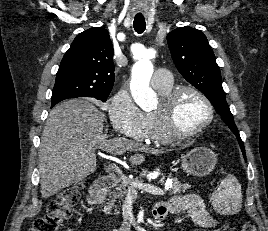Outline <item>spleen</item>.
<instances>
[{"instance_id": "3e777b00", "label": "spleen", "mask_w": 268, "mask_h": 231, "mask_svg": "<svg viewBox=\"0 0 268 231\" xmlns=\"http://www.w3.org/2000/svg\"><path fill=\"white\" fill-rule=\"evenodd\" d=\"M211 203L214 210L222 215L238 213L242 207L241 185L237 178L229 174L220 183L212 194Z\"/></svg>"}]
</instances>
